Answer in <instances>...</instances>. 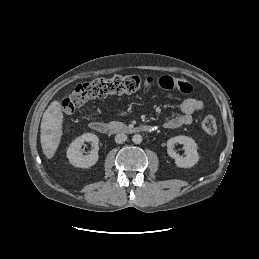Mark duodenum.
Here are the masks:
<instances>
[{"instance_id": "410a0bca", "label": "duodenum", "mask_w": 259, "mask_h": 259, "mask_svg": "<svg viewBox=\"0 0 259 259\" xmlns=\"http://www.w3.org/2000/svg\"><path fill=\"white\" fill-rule=\"evenodd\" d=\"M90 128L100 134L110 133H151L154 131V127L151 125H138L132 127H126L121 125H110L100 121H93L90 123Z\"/></svg>"}]
</instances>
